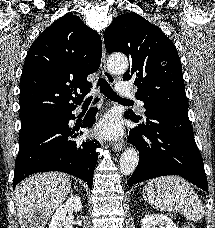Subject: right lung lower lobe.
Instances as JSON below:
<instances>
[{"instance_id": "1", "label": "right lung lower lobe", "mask_w": 215, "mask_h": 228, "mask_svg": "<svg viewBox=\"0 0 215 228\" xmlns=\"http://www.w3.org/2000/svg\"><path fill=\"white\" fill-rule=\"evenodd\" d=\"M97 101V100H96ZM73 107L62 114V120L43 125L20 136L19 153L15 162L13 188L27 176L37 172L61 171L84 180L92 189L99 147L97 140L76 144L72 138L79 134L68 126L75 119ZM97 109L91 108L83 119L82 127L91 128ZM82 134V132H80Z\"/></svg>"}]
</instances>
